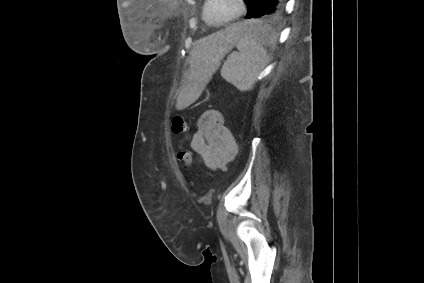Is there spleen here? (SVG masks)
<instances>
[{
  "label": "spleen",
  "mask_w": 424,
  "mask_h": 283,
  "mask_svg": "<svg viewBox=\"0 0 424 283\" xmlns=\"http://www.w3.org/2000/svg\"><path fill=\"white\" fill-rule=\"evenodd\" d=\"M246 32L237 42L238 52H232L221 69L222 77L238 90H251L264 68L269 55L264 39L270 36V28L259 20L245 22Z\"/></svg>",
  "instance_id": "1"
}]
</instances>
